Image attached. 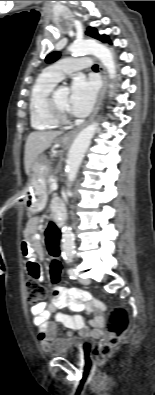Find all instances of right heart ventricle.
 <instances>
[{
	"mask_svg": "<svg viewBox=\"0 0 155 395\" xmlns=\"http://www.w3.org/2000/svg\"><path fill=\"white\" fill-rule=\"evenodd\" d=\"M57 83L58 81L45 72L37 78L32 86L29 97V113L31 126L35 130H50L58 126L46 109L47 97Z\"/></svg>",
	"mask_w": 155,
	"mask_h": 395,
	"instance_id": "right-heart-ventricle-1",
	"label": "right heart ventricle"
}]
</instances>
